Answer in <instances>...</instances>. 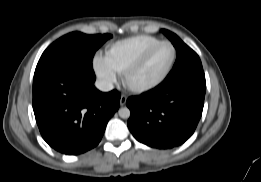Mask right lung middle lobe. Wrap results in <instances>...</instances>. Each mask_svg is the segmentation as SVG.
Instances as JSON below:
<instances>
[{"label":"right lung middle lobe","instance_id":"1","mask_svg":"<svg viewBox=\"0 0 261 182\" xmlns=\"http://www.w3.org/2000/svg\"><path fill=\"white\" fill-rule=\"evenodd\" d=\"M111 37L110 34L86 35L80 32L64 35L43 52L35 71L66 58L75 59L91 69L96 50Z\"/></svg>","mask_w":261,"mask_h":182}]
</instances>
